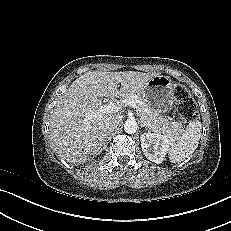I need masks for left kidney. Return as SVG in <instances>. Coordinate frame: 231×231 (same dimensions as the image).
<instances>
[{
	"instance_id": "1",
	"label": "left kidney",
	"mask_w": 231,
	"mask_h": 231,
	"mask_svg": "<svg viewBox=\"0 0 231 231\" xmlns=\"http://www.w3.org/2000/svg\"><path fill=\"white\" fill-rule=\"evenodd\" d=\"M140 140L146 158L157 164L162 163L169 146L168 137L148 131L141 134Z\"/></svg>"
}]
</instances>
